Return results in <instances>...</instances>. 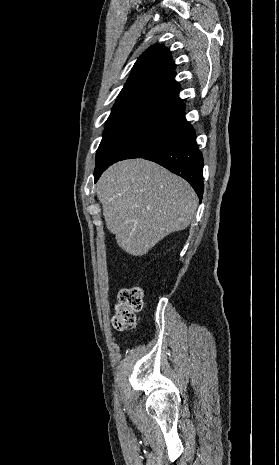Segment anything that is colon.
<instances>
[{"instance_id":"1","label":"colon","mask_w":279,"mask_h":465,"mask_svg":"<svg viewBox=\"0 0 279 465\" xmlns=\"http://www.w3.org/2000/svg\"><path fill=\"white\" fill-rule=\"evenodd\" d=\"M143 308V290L139 286L122 289L118 295V302L113 316L116 330L132 329L136 323V313Z\"/></svg>"}]
</instances>
